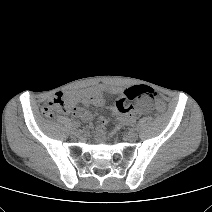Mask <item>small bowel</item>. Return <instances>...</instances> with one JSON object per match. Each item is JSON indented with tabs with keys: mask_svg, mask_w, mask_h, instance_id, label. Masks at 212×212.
Wrapping results in <instances>:
<instances>
[{
	"mask_svg": "<svg viewBox=\"0 0 212 212\" xmlns=\"http://www.w3.org/2000/svg\"><path fill=\"white\" fill-rule=\"evenodd\" d=\"M104 93L115 96L114 105L109 107V113L114 116L119 124L131 125L141 115L150 112V103L146 100H140L136 104H126V90H122L115 86H108L104 84H98L91 86L82 91L73 92L69 94L68 99L72 105V114L81 119L84 122H89L92 119V115L89 111L76 107V104L81 103L85 106L101 107L104 105ZM56 96H62L57 94ZM107 125V119L100 117L98 132L99 134H105Z\"/></svg>",
	"mask_w": 212,
	"mask_h": 212,
	"instance_id": "obj_1",
	"label": "small bowel"
}]
</instances>
